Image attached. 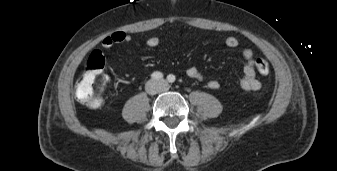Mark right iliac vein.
I'll return each mask as SVG.
<instances>
[{"instance_id":"1","label":"right iliac vein","mask_w":337,"mask_h":171,"mask_svg":"<svg viewBox=\"0 0 337 171\" xmlns=\"http://www.w3.org/2000/svg\"><path fill=\"white\" fill-rule=\"evenodd\" d=\"M157 90V84L154 82H149L147 84V91L151 94L155 93Z\"/></svg>"}]
</instances>
